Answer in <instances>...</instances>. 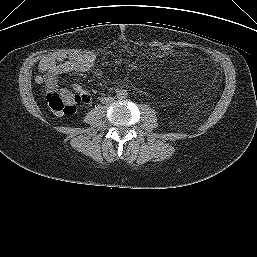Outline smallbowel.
<instances>
[{
  "instance_id": "1",
  "label": "small bowel",
  "mask_w": 257,
  "mask_h": 257,
  "mask_svg": "<svg viewBox=\"0 0 257 257\" xmlns=\"http://www.w3.org/2000/svg\"><path fill=\"white\" fill-rule=\"evenodd\" d=\"M96 63V56L93 54L66 55L63 53H50L44 55L38 65L40 74L36 77L37 83L45 84L48 90H58L59 77L66 73L87 72ZM72 89L90 101V94L77 83L72 84Z\"/></svg>"
}]
</instances>
